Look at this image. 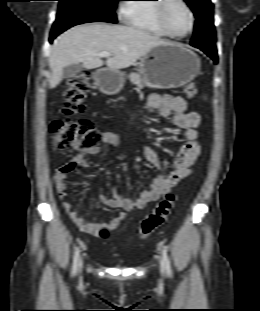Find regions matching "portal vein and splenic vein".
I'll list each match as a JSON object with an SVG mask.
<instances>
[{"mask_svg":"<svg viewBox=\"0 0 260 311\" xmlns=\"http://www.w3.org/2000/svg\"><path fill=\"white\" fill-rule=\"evenodd\" d=\"M99 57H109L111 56V53L109 52H101L97 54Z\"/></svg>","mask_w":260,"mask_h":311,"instance_id":"1","label":"portal vein and splenic vein"}]
</instances>
